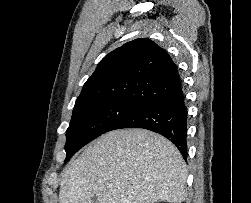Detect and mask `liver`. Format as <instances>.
<instances>
[{"label":"liver","mask_w":251,"mask_h":203,"mask_svg":"<svg viewBox=\"0 0 251 203\" xmlns=\"http://www.w3.org/2000/svg\"><path fill=\"white\" fill-rule=\"evenodd\" d=\"M188 171L178 149L145 129L110 131L62 172L59 203H181Z\"/></svg>","instance_id":"obj_1"}]
</instances>
